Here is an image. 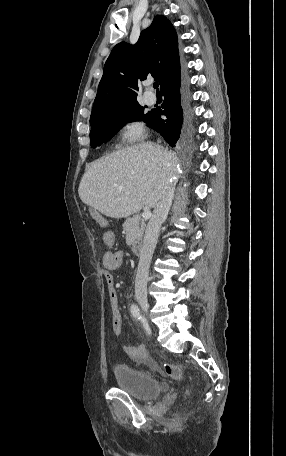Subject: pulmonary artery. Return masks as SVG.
<instances>
[{
  "mask_svg": "<svg viewBox=\"0 0 286 456\" xmlns=\"http://www.w3.org/2000/svg\"><path fill=\"white\" fill-rule=\"evenodd\" d=\"M145 101L147 104H154L156 102V96L152 92H146L145 94Z\"/></svg>",
  "mask_w": 286,
  "mask_h": 456,
  "instance_id": "pulmonary-artery-1",
  "label": "pulmonary artery"
}]
</instances>
